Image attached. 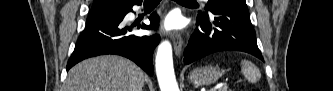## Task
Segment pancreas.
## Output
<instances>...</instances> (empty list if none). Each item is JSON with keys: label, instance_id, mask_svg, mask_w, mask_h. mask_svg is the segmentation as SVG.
Listing matches in <instances>:
<instances>
[{"label": "pancreas", "instance_id": "1", "mask_svg": "<svg viewBox=\"0 0 333 91\" xmlns=\"http://www.w3.org/2000/svg\"><path fill=\"white\" fill-rule=\"evenodd\" d=\"M221 91H228L227 89H225V90H221Z\"/></svg>", "mask_w": 333, "mask_h": 91}]
</instances>
